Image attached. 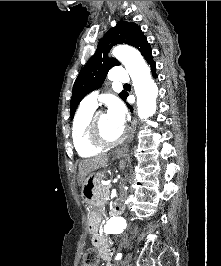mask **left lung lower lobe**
Returning a JSON list of instances; mask_svg holds the SVG:
<instances>
[{"mask_svg":"<svg viewBox=\"0 0 221 266\" xmlns=\"http://www.w3.org/2000/svg\"><path fill=\"white\" fill-rule=\"evenodd\" d=\"M149 64L151 65V71H152V74H153L154 78H156V77H157V75H156V63H155L154 61H151V62H149ZM127 96H128V95L126 94V97H127ZM126 97H125V99H126ZM125 99H124V100H125ZM127 106H128V108H129L131 111H133V108H132L131 105L127 104Z\"/></svg>","mask_w":221,"mask_h":266,"instance_id":"1","label":"left lung lower lobe"}]
</instances>
